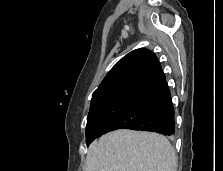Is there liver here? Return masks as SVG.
Returning <instances> with one entry per match:
<instances>
[{"label": "liver", "instance_id": "1", "mask_svg": "<svg viewBox=\"0 0 223 171\" xmlns=\"http://www.w3.org/2000/svg\"><path fill=\"white\" fill-rule=\"evenodd\" d=\"M174 148L163 135L120 129L89 146L85 171H176Z\"/></svg>", "mask_w": 223, "mask_h": 171}]
</instances>
